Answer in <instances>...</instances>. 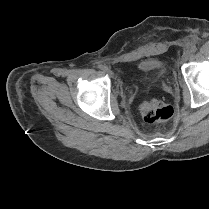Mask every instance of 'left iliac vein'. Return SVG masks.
I'll return each instance as SVG.
<instances>
[{
    "mask_svg": "<svg viewBox=\"0 0 209 209\" xmlns=\"http://www.w3.org/2000/svg\"><path fill=\"white\" fill-rule=\"evenodd\" d=\"M190 57V52L187 50L182 55V62H186Z\"/></svg>",
    "mask_w": 209,
    "mask_h": 209,
    "instance_id": "left-iliac-vein-1",
    "label": "left iliac vein"
}]
</instances>
